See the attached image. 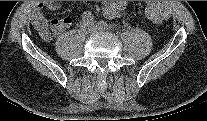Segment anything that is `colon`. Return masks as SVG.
Listing matches in <instances>:
<instances>
[{"instance_id": "1", "label": "colon", "mask_w": 207, "mask_h": 121, "mask_svg": "<svg viewBox=\"0 0 207 121\" xmlns=\"http://www.w3.org/2000/svg\"><path fill=\"white\" fill-rule=\"evenodd\" d=\"M145 14L154 23H160L170 16L168 5L163 1L148 2Z\"/></svg>"}]
</instances>
